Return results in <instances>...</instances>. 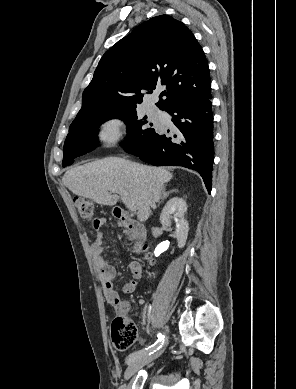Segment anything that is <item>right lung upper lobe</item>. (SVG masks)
Wrapping results in <instances>:
<instances>
[{"label": "right lung upper lobe", "instance_id": "right-lung-upper-lobe-1", "mask_svg": "<svg viewBox=\"0 0 296 389\" xmlns=\"http://www.w3.org/2000/svg\"><path fill=\"white\" fill-rule=\"evenodd\" d=\"M165 85L156 105L168 111L211 91L208 62L193 33L168 15L153 17L101 58L76 118L95 109L136 107ZM164 96V99L162 97Z\"/></svg>", "mask_w": 296, "mask_h": 389}]
</instances>
